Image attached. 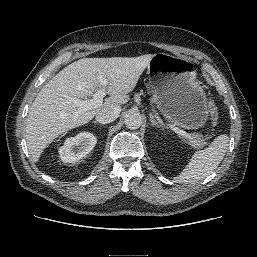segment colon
Returning <instances> with one entry per match:
<instances>
[{"label":"colon","instance_id":"colon-1","mask_svg":"<svg viewBox=\"0 0 257 257\" xmlns=\"http://www.w3.org/2000/svg\"><path fill=\"white\" fill-rule=\"evenodd\" d=\"M207 106H208V110H209V114H210L211 123L213 125H216L218 122V118H219L217 107L212 100H209L207 102Z\"/></svg>","mask_w":257,"mask_h":257}]
</instances>
